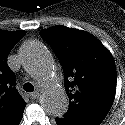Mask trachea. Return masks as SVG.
Listing matches in <instances>:
<instances>
[{
	"label": "trachea",
	"instance_id": "3493384b",
	"mask_svg": "<svg viewBox=\"0 0 125 125\" xmlns=\"http://www.w3.org/2000/svg\"><path fill=\"white\" fill-rule=\"evenodd\" d=\"M23 89L26 91V92H33L34 91V86L31 84V83H25L23 85Z\"/></svg>",
	"mask_w": 125,
	"mask_h": 125
}]
</instances>
